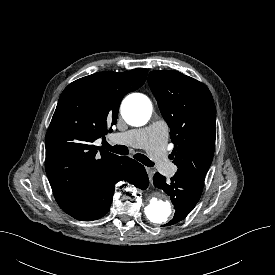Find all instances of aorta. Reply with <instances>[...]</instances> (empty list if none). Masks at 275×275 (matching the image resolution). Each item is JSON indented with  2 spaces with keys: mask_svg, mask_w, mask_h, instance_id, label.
Returning a JSON list of instances; mask_svg holds the SVG:
<instances>
[{
  "mask_svg": "<svg viewBox=\"0 0 275 275\" xmlns=\"http://www.w3.org/2000/svg\"><path fill=\"white\" fill-rule=\"evenodd\" d=\"M153 113V104L143 94H132L125 98L121 105V114L132 126H142L148 122ZM147 218L155 224H162L172 215V206L167 199L152 198L145 207Z\"/></svg>",
  "mask_w": 275,
  "mask_h": 275,
  "instance_id": "aorta-1",
  "label": "aorta"
}]
</instances>
